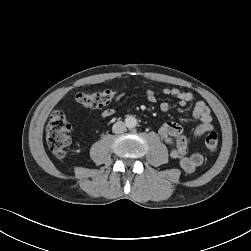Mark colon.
Segmentation results:
<instances>
[{"mask_svg": "<svg viewBox=\"0 0 251 251\" xmlns=\"http://www.w3.org/2000/svg\"><path fill=\"white\" fill-rule=\"evenodd\" d=\"M116 89H104L79 93L76 100L86 108H100L110 103L116 96ZM46 140L49 149L57 157H64L71 143V125L62 109L55 110L48 122ZM219 137L216 132H210L205 138L206 149L213 153L218 149Z\"/></svg>", "mask_w": 251, "mask_h": 251, "instance_id": "5ec220e1", "label": "colon"}]
</instances>
